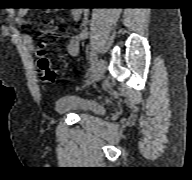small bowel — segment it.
Segmentation results:
<instances>
[{"mask_svg":"<svg viewBox=\"0 0 192 180\" xmlns=\"http://www.w3.org/2000/svg\"><path fill=\"white\" fill-rule=\"evenodd\" d=\"M73 20L77 21L82 18V25L79 31L73 35L67 45V51L71 56H77L80 50V44L82 41L88 38L87 17L88 12L83 11L80 8H73L71 11ZM27 10L20 9L16 15V21L20 25L27 23ZM22 41L29 50L34 49V41L30 34H22Z\"/></svg>","mask_w":192,"mask_h":180,"instance_id":"c3829d8e","label":"small bowel"}]
</instances>
